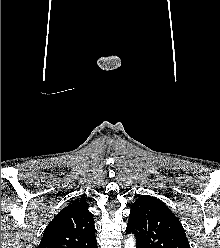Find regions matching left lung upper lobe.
Masks as SVG:
<instances>
[{
  "mask_svg": "<svg viewBox=\"0 0 220 248\" xmlns=\"http://www.w3.org/2000/svg\"><path fill=\"white\" fill-rule=\"evenodd\" d=\"M126 231L135 234L142 248H190L178 218L150 195L138 196L132 205Z\"/></svg>",
  "mask_w": 220,
  "mask_h": 248,
  "instance_id": "1",
  "label": "left lung upper lobe"
}]
</instances>
